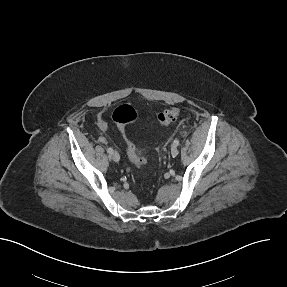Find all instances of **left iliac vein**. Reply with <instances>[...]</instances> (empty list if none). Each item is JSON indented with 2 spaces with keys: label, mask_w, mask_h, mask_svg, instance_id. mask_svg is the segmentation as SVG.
<instances>
[{
  "label": "left iliac vein",
  "mask_w": 287,
  "mask_h": 287,
  "mask_svg": "<svg viewBox=\"0 0 287 287\" xmlns=\"http://www.w3.org/2000/svg\"><path fill=\"white\" fill-rule=\"evenodd\" d=\"M178 153H179V150H178L177 146L173 144L171 146V155H172V157H176L178 155Z\"/></svg>",
  "instance_id": "obj_1"
}]
</instances>
